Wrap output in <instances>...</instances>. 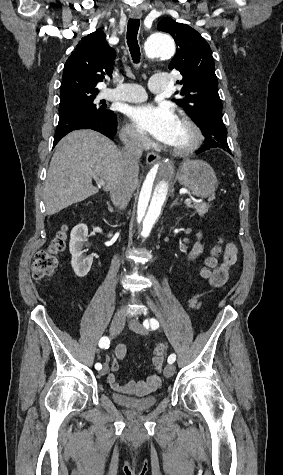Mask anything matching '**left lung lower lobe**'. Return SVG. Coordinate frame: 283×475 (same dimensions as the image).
Returning a JSON list of instances; mask_svg holds the SVG:
<instances>
[{
    "mask_svg": "<svg viewBox=\"0 0 283 475\" xmlns=\"http://www.w3.org/2000/svg\"><path fill=\"white\" fill-rule=\"evenodd\" d=\"M205 136V145L196 154L212 148H220L231 154L227 144V130L222 120V111L207 113L198 124Z\"/></svg>",
    "mask_w": 283,
    "mask_h": 475,
    "instance_id": "1",
    "label": "left lung lower lobe"
}]
</instances>
